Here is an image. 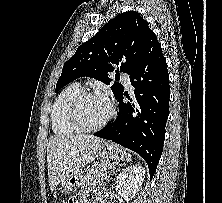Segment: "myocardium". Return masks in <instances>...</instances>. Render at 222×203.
I'll list each match as a JSON object with an SVG mask.
<instances>
[{
	"instance_id": "1",
	"label": "myocardium",
	"mask_w": 222,
	"mask_h": 203,
	"mask_svg": "<svg viewBox=\"0 0 222 203\" xmlns=\"http://www.w3.org/2000/svg\"><path fill=\"white\" fill-rule=\"evenodd\" d=\"M89 97H101L105 99L110 107L108 115L99 123L95 125H87L83 122L81 116H80V106L81 103ZM115 115V108L110 99L105 96L103 93L95 92V91H87V92H81L78 94L70 103L69 109H68V117L70 122L78 128L80 131L84 132H91L96 131L102 127H104Z\"/></svg>"
}]
</instances>
